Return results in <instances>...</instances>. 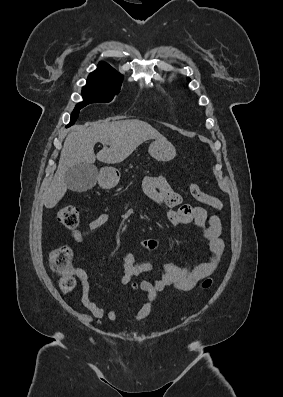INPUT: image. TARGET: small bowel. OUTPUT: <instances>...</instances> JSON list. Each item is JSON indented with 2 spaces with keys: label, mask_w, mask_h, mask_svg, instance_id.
<instances>
[{
  "label": "small bowel",
  "mask_w": 283,
  "mask_h": 397,
  "mask_svg": "<svg viewBox=\"0 0 283 397\" xmlns=\"http://www.w3.org/2000/svg\"><path fill=\"white\" fill-rule=\"evenodd\" d=\"M144 194L156 205L162 207L165 215L171 224H187L193 222L200 230L206 244V257L190 266L182 267L175 264H164L162 275L158 280L145 279L131 284L132 290H142L147 295V302L138 310L135 319H145L152 310V304L157 295L166 288L173 287L178 290H190L204 277L210 275L217 268L224 251V241L221 239L222 225L218 216L208 215L201 207H194L183 202L182 197L162 177L147 176L142 182ZM111 215L107 212L98 215L91 220L83 229H75L71 232L72 239L81 243L86 236L107 223ZM148 249H154V240L145 242ZM154 267L152 262H138L132 253L123 258V274L119 283L127 285L141 275L149 272ZM74 273L81 285V301L96 319L105 315L115 322L118 319V310L111 309L108 312L98 306L91 297L90 284L86 272L82 268H75Z\"/></svg>",
  "instance_id": "1"
}]
</instances>
